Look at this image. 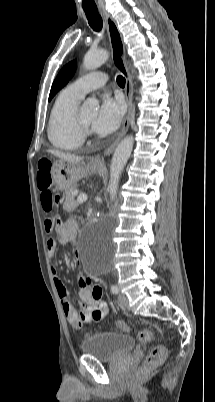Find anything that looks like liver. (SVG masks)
<instances>
[{
  "label": "liver",
  "mask_w": 215,
  "mask_h": 402,
  "mask_svg": "<svg viewBox=\"0 0 215 402\" xmlns=\"http://www.w3.org/2000/svg\"><path fill=\"white\" fill-rule=\"evenodd\" d=\"M48 152H50L54 156L58 157L60 160L70 162V163H78V162H81L83 160L82 157H79L77 155L63 153V152H60V151H57V150H48Z\"/></svg>",
  "instance_id": "obj_1"
}]
</instances>
